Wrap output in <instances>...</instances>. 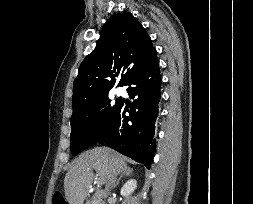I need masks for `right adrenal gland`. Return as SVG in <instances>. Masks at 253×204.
Segmentation results:
<instances>
[{"label":"right adrenal gland","instance_id":"right-adrenal-gland-1","mask_svg":"<svg viewBox=\"0 0 253 204\" xmlns=\"http://www.w3.org/2000/svg\"><path fill=\"white\" fill-rule=\"evenodd\" d=\"M132 171H133L132 169L127 168V170L125 171V173L122 174V175L117 179L116 183L114 184V187H117V186L119 185V182H120V180H121L122 177H124V176H129V175L132 173Z\"/></svg>","mask_w":253,"mask_h":204}]
</instances>
